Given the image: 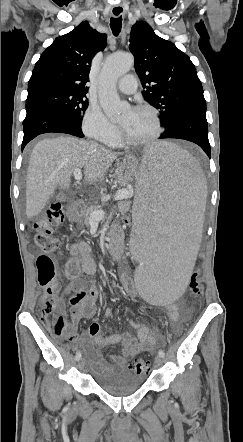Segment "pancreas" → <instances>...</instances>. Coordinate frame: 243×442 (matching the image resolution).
Instances as JSON below:
<instances>
[{"instance_id": "pancreas-1", "label": "pancreas", "mask_w": 243, "mask_h": 442, "mask_svg": "<svg viewBox=\"0 0 243 442\" xmlns=\"http://www.w3.org/2000/svg\"><path fill=\"white\" fill-rule=\"evenodd\" d=\"M99 207L98 206H91L89 207L86 212H85V217H84V224L88 227L90 225V217L91 214L96 211ZM130 208V201L125 200L122 202L118 203V211L121 213H125L129 210Z\"/></svg>"}]
</instances>
